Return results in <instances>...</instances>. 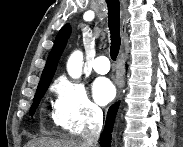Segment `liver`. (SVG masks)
<instances>
[{
  "label": "liver",
  "instance_id": "obj_1",
  "mask_svg": "<svg viewBox=\"0 0 183 147\" xmlns=\"http://www.w3.org/2000/svg\"><path fill=\"white\" fill-rule=\"evenodd\" d=\"M27 147H86L83 142L69 139L39 138L28 142Z\"/></svg>",
  "mask_w": 183,
  "mask_h": 147
}]
</instances>
